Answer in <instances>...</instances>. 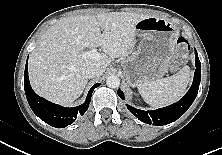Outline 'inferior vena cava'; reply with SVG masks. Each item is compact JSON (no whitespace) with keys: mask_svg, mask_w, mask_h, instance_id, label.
Wrapping results in <instances>:
<instances>
[{"mask_svg":"<svg viewBox=\"0 0 222 155\" xmlns=\"http://www.w3.org/2000/svg\"><path fill=\"white\" fill-rule=\"evenodd\" d=\"M103 72H104V69L97 64H91L85 70L86 76L89 79L100 77L103 74Z\"/></svg>","mask_w":222,"mask_h":155,"instance_id":"1","label":"inferior vena cava"}]
</instances>
